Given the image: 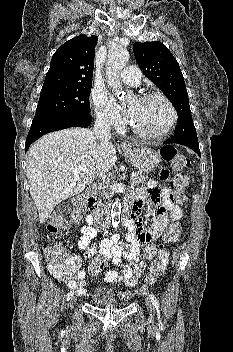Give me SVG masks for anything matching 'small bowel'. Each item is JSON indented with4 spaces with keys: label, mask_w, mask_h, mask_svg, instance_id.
<instances>
[{
    "label": "small bowel",
    "mask_w": 233,
    "mask_h": 352,
    "mask_svg": "<svg viewBox=\"0 0 233 352\" xmlns=\"http://www.w3.org/2000/svg\"><path fill=\"white\" fill-rule=\"evenodd\" d=\"M146 197H149L154 204L156 218L150 227H145L141 217V208ZM135 207L129 220L126 221L127 236L125 241L117 234L103 239L99 244L93 242L97 235L96 229L92 226L93 220L88 217V224L81 228V236L78 240V247L84 250L83 256L70 255L68 262L73 266V272L61 278L67 286L74 290L78 296L89 295L85 283V270L81 269L83 260H89L102 253L109 257L112 264L119 270H109L104 276L107 283L123 281L128 286H134L140 279L145 267L144 260H151L156 255L166 265L168 253L157 248L156 242L160 238L165 227L173 221L181 218L182 212L174 201L172 192L168 188H161L156 182L151 181L145 187L137 190L130 196ZM145 250L141 252V245ZM124 260L129 261L128 264Z\"/></svg>",
    "instance_id": "1"
}]
</instances>
